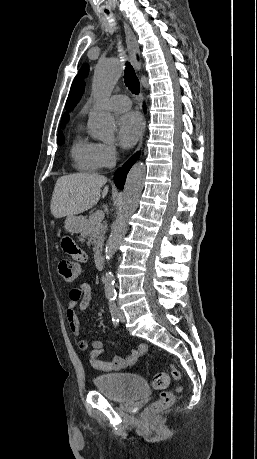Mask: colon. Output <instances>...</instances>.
<instances>
[{
    "instance_id": "5ec220e1",
    "label": "colon",
    "mask_w": 257,
    "mask_h": 459,
    "mask_svg": "<svg viewBox=\"0 0 257 459\" xmlns=\"http://www.w3.org/2000/svg\"><path fill=\"white\" fill-rule=\"evenodd\" d=\"M58 272L67 283L72 284L81 274V264H69L68 259H62L58 263ZM171 378L176 381L183 380L181 372L172 367L170 371H162L155 374L151 380V386L154 389L163 390L168 386ZM181 389L182 387H179L177 391L179 392ZM174 399V392L163 391L159 398L147 408V413L155 414L168 408L174 402Z\"/></svg>"
}]
</instances>
